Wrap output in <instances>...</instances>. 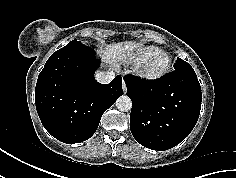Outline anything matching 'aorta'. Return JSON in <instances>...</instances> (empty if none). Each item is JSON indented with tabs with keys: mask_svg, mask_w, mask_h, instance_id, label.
Masks as SVG:
<instances>
[{
	"mask_svg": "<svg viewBox=\"0 0 236 178\" xmlns=\"http://www.w3.org/2000/svg\"><path fill=\"white\" fill-rule=\"evenodd\" d=\"M116 107L122 112L129 111L132 108V101L128 96H120L116 101Z\"/></svg>",
	"mask_w": 236,
	"mask_h": 178,
	"instance_id": "obj_1",
	"label": "aorta"
}]
</instances>
